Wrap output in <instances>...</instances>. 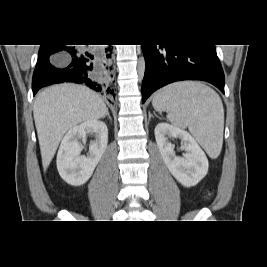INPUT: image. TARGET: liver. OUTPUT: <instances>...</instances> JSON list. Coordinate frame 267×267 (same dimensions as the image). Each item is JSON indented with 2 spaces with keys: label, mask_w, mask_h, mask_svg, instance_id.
I'll list each match as a JSON object with an SVG mask.
<instances>
[{
  "label": "liver",
  "mask_w": 267,
  "mask_h": 267,
  "mask_svg": "<svg viewBox=\"0 0 267 267\" xmlns=\"http://www.w3.org/2000/svg\"><path fill=\"white\" fill-rule=\"evenodd\" d=\"M106 112L99 95L85 86L61 84L39 93L33 115L44 171L67 131L81 122L103 118Z\"/></svg>",
  "instance_id": "liver-1"
}]
</instances>
